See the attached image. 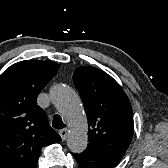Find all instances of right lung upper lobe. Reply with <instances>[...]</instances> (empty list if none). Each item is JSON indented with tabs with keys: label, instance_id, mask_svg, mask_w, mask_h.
<instances>
[{
	"label": "right lung upper lobe",
	"instance_id": "1",
	"mask_svg": "<svg viewBox=\"0 0 168 168\" xmlns=\"http://www.w3.org/2000/svg\"><path fill=\"white\" fill-rule=\"evenodd\" d=\"M58 68L25 60L0 76V168H36L41 148L61 141L36 101Z\"/></svg>",
	"mask_w": 168,
	"mask_h": 168
}]
</instances>
